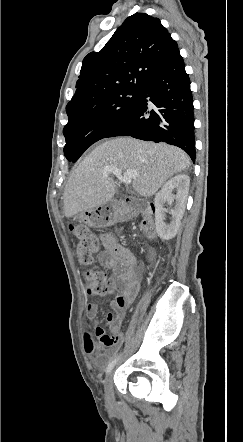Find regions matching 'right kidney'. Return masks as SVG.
Here are the masks:
<instances>
[{
    "label": "right kidney",
    "mask_w": 243,
    "mask_h": 442,
    "mask_svg": "<svg viewBox=\"0 0 243 442\" xmlns=\"http://www.w3.org/2000/svg\"><path fill=\"white\" fill-rule=\"evenodd\" d=\"M190 179L185 174L176 175L167 181L155 196V226L158 236L163 240L172 239L178 231L188 197ZM176 191V194H173ZM175 201V202H174ZM168 203L174 207L169 211L170 223L165 222V209Z\"/></svg>",
    "instance_id": "1"
}]
</instances>
